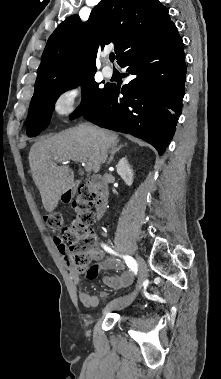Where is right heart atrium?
Here are the masks:
<instances>
[{"instance_id": "1", "label": "right heart atrium", "mask_w": 221, "mask_h": 379, "mask_svg": "<svg viewBox=\"0 0 221 379\" xmlns=\"http://www.w3.org/2000/svg\"><path fill=\"white\" fill-rule=\"evenodd\" d=\"M83 88L72 82L63 86L53 99V111L60 118H68L82 100Z\"/></svg>"}]
</instances>
